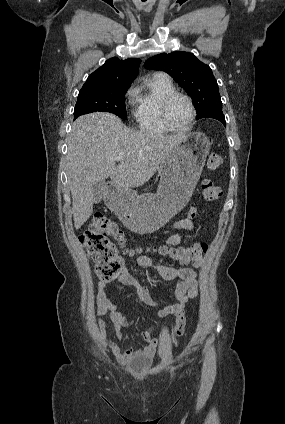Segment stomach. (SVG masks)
Returning a JSON list of instances; mask_svg holds the SVG:
<instances>
[{"label":"stomach","mask_w":285,"mask_h":424,"mask_svg":"<svg viewBox=\"0 0 285 424\" xmlns=\"http://www.w3.org/2000/svg\"><path fill=\"white\" fill-rule=\"evenodd\" d=\"M209 150L210 142L204 134L185 137L161 163L156 193L138 195L117 190L108 206L134 232L158 230L190 200Z\"/></svg>","instance_id":"0dacf381"}]
</instances>
